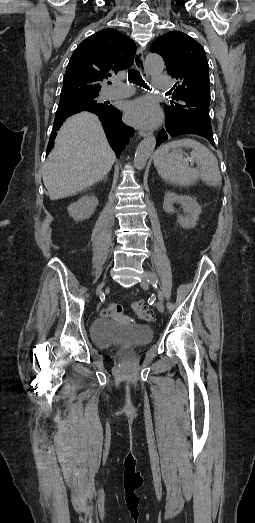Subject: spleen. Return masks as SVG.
Returning a JSON list of instances; mask_svg holds the SVG:
<instances>
[{
    "instance_id": "obj_1",
    "label": "spleen",
    "mask_w": 255,
    "mask_h": 523,
    "mask_svg": "<svg viewBox=\"0 0 255 523\" xmlns=\"http://www.w3.org/2000/svg\"><path fill=\"white\" fill-rule=\"evenodd\" d=\"M181 148H192L190 158L197 168H190L186 158L178 154ZM172 150L171 154H169ZM153 164L161 178L177 186H193L199 178L208 186H218L221 176L216 156L196 140L184 138L160 146L153 156Z\"/></svg>"
}]
</instances>
